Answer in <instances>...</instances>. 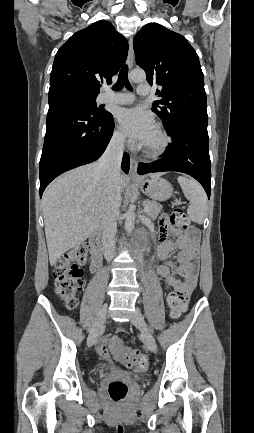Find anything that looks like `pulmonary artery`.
<instances>
[{
    "label": "pulmonary artery",
    "instance_id": "pulmonary-artery-1",
    "mask_svg": "<svg viewBox=\"0 0 254 433\" xmlns=\"http://www.w3.org/2000/svg\"><path fill=\"white\" fill-rule=\"evenodd\" d=\"M150 86L147 84H141L137 88V93L139 95H148L150 94ZM135 100V95L133 93H110L105 92L102 101L105 103H114V104H131Z\"/></svg>",
    "mask_w": 254,
    "mask_h": 433
}]
</instances>
